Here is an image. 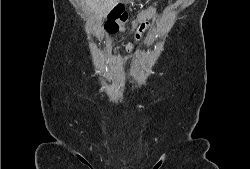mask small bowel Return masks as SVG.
<instances>
[{"label": "small bowel", "instance_id": "small-bowel-1", "mask_svg": "<svg viewBox=\"0 0 250 169\" xmlns=\"http://www.w3.org/2000/svg\"><path fill=\"white\" fill-rule=\"evenodd\" d=\"M138 21H139V20L134 21V23H133V29H135V28L137 27ZM129 47H131V46H129Z\"/></svg>", "mask_w": 250, "mask_h": 169}]
</instances>
